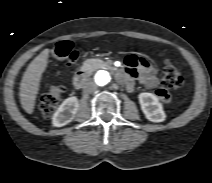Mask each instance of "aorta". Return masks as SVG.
Segmentation results:
<instances>
[{"label":"aorta","instance_id":"762f6f07","mask_svg":"<svg viewBox=\"0 0 212 183\" xmlns=\"http://www.w3.org/2000/svg\"><path fill=\"white\" fill-rule=\"evenodd\" d=\"M91 81L100 87H106L111 81V74L104 70L98 71L92 75Z\"/></svg>","mask_w":212,"mask_h":183}]
</instances>
